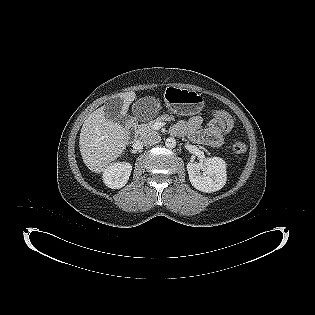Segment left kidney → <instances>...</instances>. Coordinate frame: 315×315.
I'll use <instances>...</instances> for the list:
<instances>
[{
    "instance_id": "1",
    "label": "left kidney",
    "mask_w": 315,
    "mask_h": 315,
    "mask_svg": "<svg viewBox=\"0 0 315 315\" xmlns=\"http://www.w3.org/2000/svg\"><path fill=\"white\" fill-rule=\"evenodd\" d=\"M187 171L192 186L201 192L218 191L226 183V163L219 157L206 158L199 163L189 162Z\"/></svg>"
}]
</instances>
